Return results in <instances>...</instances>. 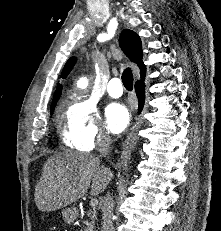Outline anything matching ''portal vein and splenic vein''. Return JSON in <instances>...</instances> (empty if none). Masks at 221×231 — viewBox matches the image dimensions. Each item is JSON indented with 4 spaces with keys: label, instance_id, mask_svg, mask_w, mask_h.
Listing matches in <instances>:
<instances>
[{
    "label": "portal vein and splenic vein",
    "instance_id": "portal-vein-and-splenic-vein-1",
    "mask_svg": "<svg viewBox=\"0 0 221 231\" xmlns=\"http://www.w3.org/2000/svg\"><path fill=\"white\" fill-rule=\"evenodd\" d=\"M90 205H91L92 207L97 206V205H98V200H97L96 198L91 199Z\"/></svg>",
    "mask_w": 221,
    "mask_h": 231
}]
</instances>
